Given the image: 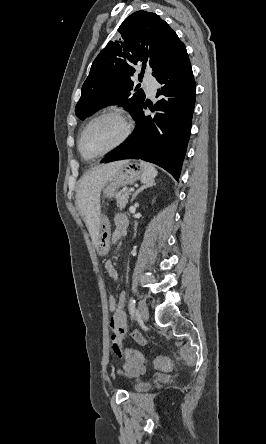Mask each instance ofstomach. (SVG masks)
Returning <instances> with one entry per match:
<instances>
[{
    "instance_id": "1",
    "label": "stomach",
    "mask_w": 266,
    "mask_h": 444,
    "mask_svg": "<svg viewBox=\"0 0 266 444\" xmlns=\"http://www.w3.org/2000/svg\"><path fill=\"white\" fill-rule=\"evenodd\" d=\"M143 176L144 170L140 164L131 161L124 163L103 188L104 197H113L119 187L133 184L137 180L142 179ZM98 232L99 235L97 246L101 253H105L107 251V247L103 246V240H105V243L107 244L110 237V224L105 216L100 217Z\"/></svg>"
}]
</instances>
